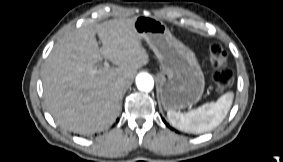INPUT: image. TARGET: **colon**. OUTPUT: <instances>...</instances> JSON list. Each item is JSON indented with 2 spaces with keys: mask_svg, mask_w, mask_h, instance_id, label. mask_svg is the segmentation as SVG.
Returning <instances> with one entry per match:
<instances>
[{
  "mask_svg": "<svg viewBox=\"0 0 283 162\" xmlns=\"http://www.w3.org/2000/svg\"><path fill=\"white\" fill-rule=\"evenodd\" d=\"M228 54L219 44H213L210 47V61L215 68L213 79L217 92H223L231 83L233 72L227 68Z\"/></svg>",
  "mask_w": 283,
  "mask_h": 162,
  "instance_id": "colon-1",
  "label": "colon"
}]
</instances>
